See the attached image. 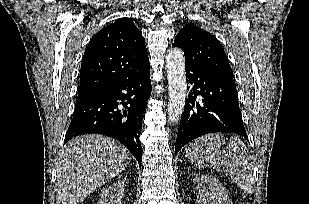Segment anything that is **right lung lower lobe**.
Returning a JSON list of instances; mask_svg holds the SVG:
<instances>
[{
	"mask_svg": "<svg viewBox=\"0 0 309 204\" xmlns=\"http://www.w3.org/2000/svg\"><path fill=\"white\" fill-rule=\"evenodd\" d=\"M150 68L138 76L78 98L65 143L81 134H103L119 140L141 163L139 135L151 95ZM122 104L125 110L118 106Z\"/></svg>",
	"mask_w": 309,
	"mask_h": 204,
	"instance_id": "right-lung-lower-lobe-1",
	"label": "right lung lower lobe"
}]
</instances>
